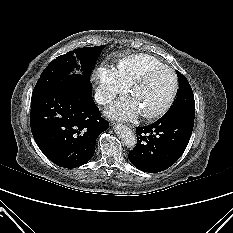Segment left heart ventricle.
Returning a JSON list of instances; mask_svg holds the SVG:
<instances>
[{
	"mask_svg": "<svg viewBox=\"0 0 233 233\" xmlns=\"http://www.w3.org/2000/svg\"><path fill=\"white\" fill-rule=\"evenodd\" d=\"M173 84L170 72L159 70L152 73L142 84L131 92L140 112H152L166 101Z\"/></svg>",
	"mask_w": 233,
	"mask_h": 233,
	"instance_id": "left-heart-ventricle-1",
	"label": "left heart ventricle"
}]
</instances>
